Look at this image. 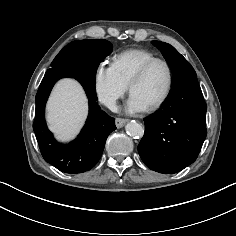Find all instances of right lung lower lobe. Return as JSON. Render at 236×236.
<instances>
[{
    "label": "right lung lower lobe",
    "instance_id": "obj_1",
    "mask_svg": "<svg viewBox=\"0 0 236 236\" xmlns=\"http://www.w3.org/2000/svg\"><path fill=\"white\" fill-rule=\"evenodd\" d=\"M67 55L77 61L72 67L49 69L38 89L33 129L45 161L62 172L76 174L92 169L99 161L108 135L116 129L115 119L107 116L96 102L95 74L108 55L97 53L87 44L74 46ZM63 77L78 80L89 99V116L79 136L68 145L58 143L45 122V104L53 85Z\"/></svg>",
    "mask_w": 236,
    "mask_h": 236
}]
</instances>
